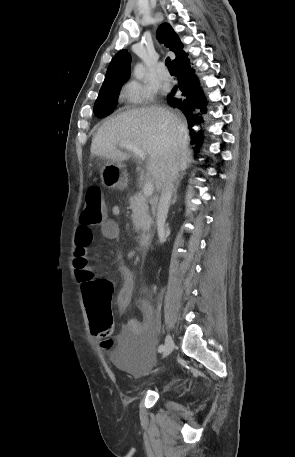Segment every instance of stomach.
I'll return each mask as SVG.
<instances>
[{"label": "stomach", "instance_id": "1", "mask_svg": "<svg viewBox=\"0 0 295 457\" xmlns=\"http://www.w3.org/2000/svg\"><path fill=\"white\" fill-rule=\"evenodd\" d=\"M101 179L107 188L124 189L127 186V173L120 161L106 159L101 168Z\"/></svg>", "mask_w": 295, "mask_h": 457}]
</instances>
